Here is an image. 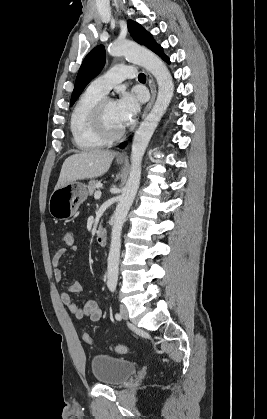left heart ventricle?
Returning <instances> with one entry per match:
<instances>
[{
    "label": "left heart ventricle",
    "instance_id": "left-heart-ventricle-1",
    "mask_svg": "<svg viewBox=\"0 0 267 419\" xmlns=\"http://www.w3.org/2000/svg\"><path fill=\"white\" fill-rule=\"evenodd\" d=\"M105 121L108 129L113 132L119 131L124 127L119 118L115 101H110L107 103L105 108Z\"/></svg>",
    "mask_w": 267,
    "mask_h": 419
}]
</instances>
